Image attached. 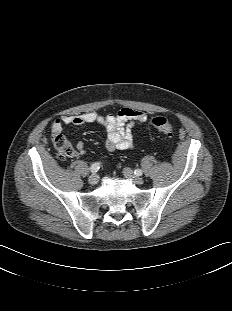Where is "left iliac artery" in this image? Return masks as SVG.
Returning a JSON list of instances; mask_svg holds the SVG:
<instances>
[{
  "instance_id": "44dca946",
  "label": "left iliac artery",
  "mask_w": 232,
  "mask_h": 311,
  "mask_svg": "<svg viewBox=\"0 0 232 311\" xmlns=\"http://www.w3.org/2000/svg\"><path fill=\"white\" fill-rule=\"evenodd\" d=\"M134 173H135V175H137V176H141L142 173H143V171L140 170V169H137V170L134 171Z\"/></svg>"
}]
</instances>
